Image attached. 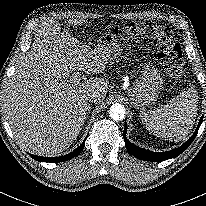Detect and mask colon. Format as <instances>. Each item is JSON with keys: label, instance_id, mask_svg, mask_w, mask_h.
I'll return each instance as SVG.
<instances>
[{"label": "colon", "instance_id": "1", "mask_svg": "<svg viewBox=\"0 0 206 206\" xmlns=\"http://www.w3.org/2000/svg\"><path fill=\"white\" fill-rule=\"evenodd\" d=\"M126 35L131 38L149 35L155 40L157 57L164 71L174 80L185 73V63L180 46L175 42L171 29L163 22H135L129 25Z\"/></svg>", "mask_w": 206, "mask_h": 206}]
</instances>
